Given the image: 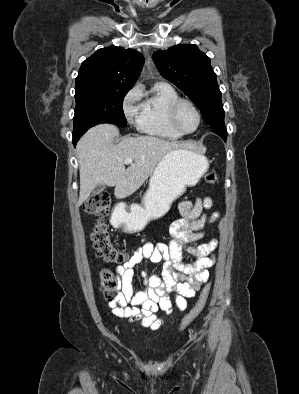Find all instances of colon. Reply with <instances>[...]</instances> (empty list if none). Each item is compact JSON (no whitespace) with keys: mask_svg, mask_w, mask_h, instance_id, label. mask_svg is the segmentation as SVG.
Segmentation results:
<instances>
[{"mask_svg":"<svg viewBox=\"0 0 299 394\" xmlns=\"http://www.w3.org/2000/svg\"><path fill=\"white\" fill-rule=\"evenodd\" d=\"M205 182L214 185L217 182V173L208 171L205 175ZM111 207V198L107 191L100 190L94 192L84 204V210L98 217L93 225L92 241L96 256L106 263L120 264L128 260V255L116 248L111 242L110 232L104 218L108 216ZM120 282L118 278L109 270L100 273V288L106 298L116 297ZM211 284L207 283L203 287L198 301L194 307L185 315L181 323V329H185L203 311Z\"/></svg>","mask_w":299,"mask_h":394,"instance_id":"colon-1","label":"colon"}]
</instances>
